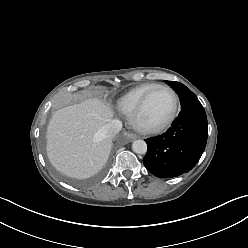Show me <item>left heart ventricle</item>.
I'll return each mask as SVG.
<instances>
[{"mask_svg":"<svg viewBox=\"0 0 248 248\" xmlns=\"http://www.w3.org/2000/svg\"><path fill=\"white\" fill-rule=\"evenodd\" d=\"M173 98L165 89H155L148 97L141 116V122L155 125L163 121L170 113Z\"/></svg>","mask_w":248,"mask_h":248,"instance_id":"b2bd125f","label":"left heart ventricle"}]
</instances>
